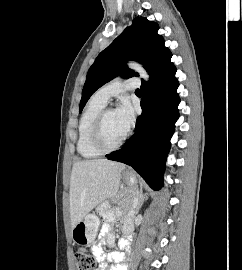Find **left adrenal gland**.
I'll return each instance as SVG.
<instances>
[{"label": "left adrenal gland", "instance_id": "1", "mask_svg": "<svg viewBox=\"0 0 242 270\" xmlns=\"http://www.w3.org/2000/svg\"><path fill=\"white\" fill-rule=\"evenodd\" d=\"M137 198H138V203H137V206L135 208V214H138L139 209L141 208V206L144 202V199H145V196L143 195L142 191H140V193L137 194Z\"/></svg>", "mask_w": 242, "mask_h": 270}]
</instances>
